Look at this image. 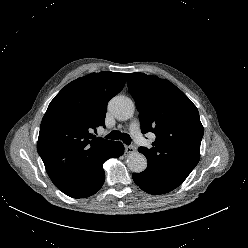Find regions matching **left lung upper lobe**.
<instances>
[{
	"label": "left lung upper lobe",
	"mask_w": 248,
	"mask_h": 248,
	"mask_svg": "<svg viewBox=\"0 0 248 248\" xmlns=\"http://www.w3.org/2000/svg\"><path fill=\"white\" fill-rule=\"evenodd\" d=\"M127 85L142 133L156 135L152 148L138 149L148 160L147 169L181 185L200 159L204 128L196 106L170 81L157 76L129 73Z\"/></svg>",
	"instance_id": "1"
}]
</instances>
